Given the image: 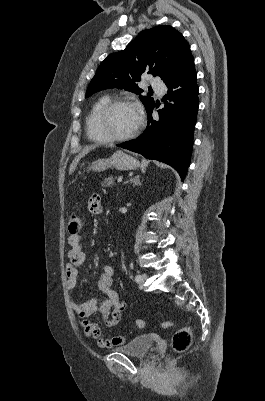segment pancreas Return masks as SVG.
Segmentation results:
<instances>
[{
	"mask_svg": "<svg viewBox=\"0 0 265 401\" xmlns=\"http://www.w3.org/2000/svg\"><path fill=\"white\" fill-rule=\"evenodd\" d=\"M115 178H117V176H108V178H104L102 186H111V184H114Z\"/></svg>",
	"mask_w": 265,
	"mask_h": 401,
	"instance_id": "cf45deb5",
	"label": "pancreas"
}]
</instances>
